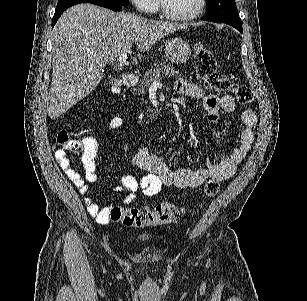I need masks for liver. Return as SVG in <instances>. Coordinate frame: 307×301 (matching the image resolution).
<instances>
[{
    "label": "liver",
    "instance_id": "liver-1",
    "mask_svg": "<svg viewBox=\"0 0 307 301\" xmlns=\"http://www.w3.org/2000/svg\"><path fill=\"white\" fill-rule=\"evenodd\" d=\"M187 28L173 20L141 18L132 12H113L95 4H75L58 18L52 30V80L47 98L50 118H57L102 78V68L135 44L142 52L156 40Z\"/></svg>",
    "mask_w": 307,
    "mask_h": 301
}]
</instances>
